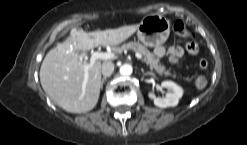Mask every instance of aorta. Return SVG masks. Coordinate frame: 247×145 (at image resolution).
I'll return each instance as SVG.
<instances>
[{
    "mask_svg": "<svg viewBox=\"0 0 247 145\" xmlns=\"http://www.w3.org/2000/svg\"><path fill=\"white\" fill-rule=\"evenodd\" d=\"M132 66L129 65V64H123L121 67H120V74L123 75V76H129L132 74Z\"/></svg>",
    "mask_w": 247,
    "mask_h": 145,
    "instance_id": "obj_1",
    "label": "aorta"
}]
</instances>
